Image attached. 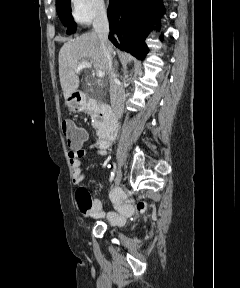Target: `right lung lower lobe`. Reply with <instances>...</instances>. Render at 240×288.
Listing matches in <instances>:
<instances>
[{"label": "right lung lower lobe", "instance_id": "right-lung-lower-lobe-1", "mask_svg": "<svg viewBox=\"0 0 240 288\" xmlns=\"http://www.w3.org/2000/svg\"><path fill=\"white\" fill-rule=\"evenodd\" d=\"M164 13L162 0H110L109 40L117 48L143 59L148 53L144 40L152 24H159ZM113 33H118L119 40H122L121 34L123 35L121 43Z\"/></svg>", "mask_w": 240, "mask_h": 288}]
</instances>
